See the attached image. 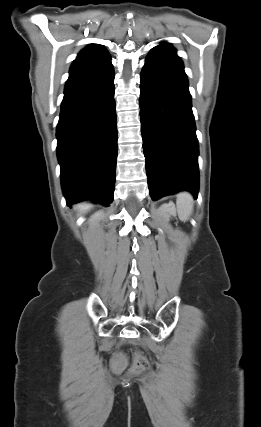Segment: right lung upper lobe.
<instances>
[{
  "instance_id": "obj_1",
  "label": "right lung upper lobe",
  "mask_w": 261,
  "mask_h": 427,
  "mask_svg": "<svg viewBox=\"0 0 261 427\" xmlns=\"http://www.w3.org/2000/svg\"><path fill=\"white\" fill-rule=\"evenodd\" d=\"M111 65L110 55L104 47L95 44L88 45L71 65L66 84L101 72Z\"/></svg>"
}]
</instances>
